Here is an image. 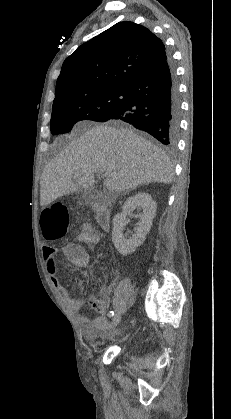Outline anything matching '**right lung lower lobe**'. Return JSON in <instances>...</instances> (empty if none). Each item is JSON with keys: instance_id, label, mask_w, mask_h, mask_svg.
<instances>
[{"instance_id": "right-lung-lower-lobe-1", "label": "right lung lower lobe", "mask_w": 231, "mask_h": 419, "mask_svg": "<svg viewBox=\"0 0 231 419\" xmlns=\"http://www.w3.org/2000/svg\"><path fill=\"white\" fill-rule=\"evenodd\" d=\"M180 118L178 87L170 61L134 81L123 103L105 120L120 119L154 136L163 145H175Z\"/></svg>"}]
</instances>
